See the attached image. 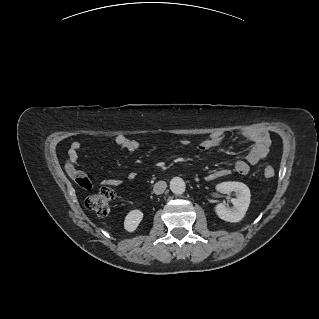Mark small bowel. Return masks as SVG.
Here are the masks:
<instances>
[{"label": "small bowel", "mask_w": 319, "mask_h": 319, "mask_svg": "<svg viewBox=\"0 0 319 319\" xmlns=\"http://www.w3.org/2000/svg\"><path fill=\"white\" fill-rule=\"evenodd\" d=\"M242 139L241 140H249L252 142V146L250 149L246 152L245 156L241 160H237L234 163V171L238 174H247L250 171V168L260 161H262L268 154V146L270 143V137L268 133L265 132H252V133H246L242 134ZM227 138L226 133H213L209 135L205 140L199 143L198 145V150L200 152L206 153L211 151L212 149L218 147L222 142L225 141ZM115 143L129 151V152H134L138 149L139 144L137 141L129 139L128 137L124 135H118L115 138ZM182 144L186 145L188 144V141L183 140ZM81 148V145L79 142H73L71 146V151H70V161L72 163H76L78 159V152ZM230 173L229 169L226 168H218L214 169L210 172L207 173L205 176V179L207 181H213L219 178H222ZM73 177L76 179V181L80 182L81 180L85 179L88 181L86 178V174L79 172V171H74L73 172ZM129 179H134L135 178V173L130 172L128 174ZM123 181L118 178H109V179H104L102 181V184L108 185V186H113V187H118L122 185Z\"/></svg>", "instance_id": "1"}]
</instances>
